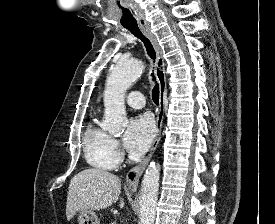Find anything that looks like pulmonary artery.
Wrapping results in <instances>:
<instances>
[{
    "instance_id": "obj_1",
    "label": "pulmonary artery",
    "mask_w": 275,
    "mask_h": 224,
    "mask_svg": "<svg viewBox=\"0 0 275 224\" xmlns=\"http://www.w3.org/2000/svg\"><path fill=\"white\" fill-rule=\"evenodd\" d=\"M127 104L135 109H142L145 107V98L140 92H132L126 98Z\"/></svg>"
}]
</instances>
